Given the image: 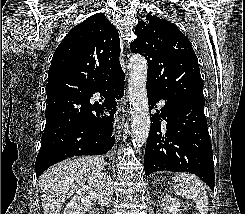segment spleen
<instances>
[{
    "label": "spleen",
    "mask_w": 245,
    "mask_h": 214,
    "mask_svg": "<svg viewBox=\"0 0 245 214\" xmlns=\"http://www.w3.org/2000/svg\"><path fill=\"white\" fill-rule=\"evenodd\" d=\"M173 180V189L177 195L192 199L200 214H208V196L198 177L189 173H177Z\"/></svg>",
    "instance_id": "obj_1"
}]
</instances>
